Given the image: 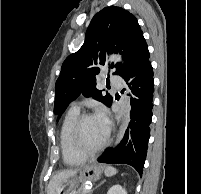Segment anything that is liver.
Listing matches in <instances>:
<instances>
[{"instance_id":"6515ba94","label":"liver","mask_w":201,"mask_h":194,"mask_svg":"<svg viewBox=\"0 0 201 194\" xmlns=\"http://www.w3.org/2000/svg\"><path fill=\"white\" fill-rule=\"evenodd\" d=\"M80 169L64 170L58 172L49 182L47 194H55L60 183L70 177L75 176Z\"/></svg>"}]
</instances>
